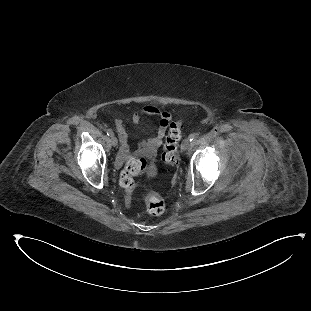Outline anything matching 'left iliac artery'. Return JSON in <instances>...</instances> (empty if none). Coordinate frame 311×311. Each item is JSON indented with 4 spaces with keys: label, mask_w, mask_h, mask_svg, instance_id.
Returning a JSON list of instances; mask_svg holds the SVG:
<instances>
[{
    "label": "left iliac artery",
    "mask_w": 311,
    "mask_h": 311,
    "mask_svg": "<svg viewBox=\"0 0 311 311\" xmlns=\"http://www.w3.org/2000/svg\"><path fill=\"white\" fill-rule=\"evenodd\" d=\"M196 135L194 133H191L189 136H188V139L190 141H193L195 139Z\"/></svg>",
    "instance_id": "left-iliac-artery-1"
}]
</instances>
